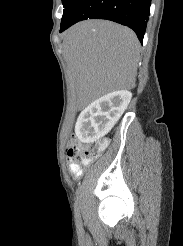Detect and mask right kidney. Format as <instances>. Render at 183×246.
Instances as JSON below:
<instances>
[{
    "label": "right kidney",
    "instance_id": "right-kidney-1",
    "mask_svg": "<svg viewBox=\"0 0 183 246\" xmlns=\"http://www.w3.org/2000/svg\"><path fill=\"white\" fill-rule=\"evenodd\" d=\"M132 98L127 90L111 92L85 108L79 115L75 133L83 143L104 137L120 119Z\"/></svg>",
    "mask_w": 183,
    "mask_h": 246
}]
</instances>
